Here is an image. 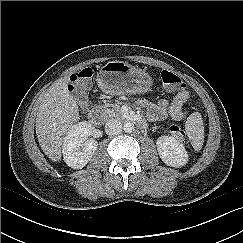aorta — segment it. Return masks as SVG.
<instances>
[{"label":"aorta","mask_w":243,"mask_h":243,"mask_svg":"<svg viewBox=\"0 0 243 243\" xmlns=\"http://www.w3.org/2000/svg\"><path fill=\"white\" fill-rule=\"evenodd\" d=\"M123 130H124V132H126V133H131V132L134 130V124L131 123V122H126V123L123 125Z\"/></svg>","instance_id":"aorta-1"}]
</instances>
